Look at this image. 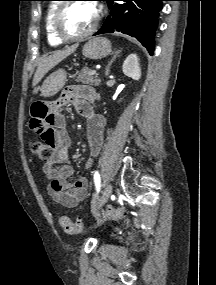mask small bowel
<instances>
[{
	"instance_id": "1",
	"label": "small bowel",
	"mask_w": 216,
	"mask_h": 285,
	"mask_svg": "<svg viewBox=\"0 0 216 285\" xmlns=\"http://www.w3.org/2000/svg\"><path fill=\"white\" fill-rule=\"evenodd\" d=\"M98 100L97 92L90 86L74 85L66 88L53 103L34 102L31 107V128L40 141L54 149V156L43 165V173L49 180L48 194L54 203L74 207L85 199L89 182L85 177L73 179L70 165L72 141L66 131V118L58 109L72 104L87 120V138L92 157H96L104 142L105 120L96 114L92 103ZM93 159L87 162L91 167Z\"/></svg>"
}]
</instances>
